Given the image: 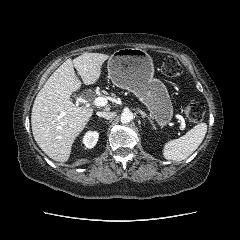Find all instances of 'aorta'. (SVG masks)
I'll return each mask as SVG.
<instances>
[{
  "instance_id": "aorta-1",
  "label": "aorta",
  "mask_w": 240,
  "mask_h": 240,
  "mask_svg": "<svg viewBox=\"0 0 240 240\" xmlns=\"http://www.w3.org/2000/svg\"><path fill=\"white\" fill-rule=\"evenodd\" d=\"M133 113L131 111H123L121 114V122L122 123H129L133 120Z\"/></svg>"
}]
</instances>
